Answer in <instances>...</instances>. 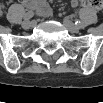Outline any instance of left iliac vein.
<instances>
[{
	"label": "left iliac vein",
	"instance_id": "1",
	"mask_svg": "<svg viewBox=\"0 0 103 103\" xmlns=\"http://www.w3.org/2000/svg\"><path fill=\"white\" fill-rule=\"evenodd\" d=\"M63 24L66 27V29L71 33H77L79 31V27H77L72 21L69 19H64Z\"/></svg>",
	"mask_w": 103,
	"mask_h": 103
}]
</instances>
